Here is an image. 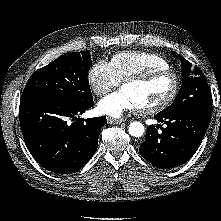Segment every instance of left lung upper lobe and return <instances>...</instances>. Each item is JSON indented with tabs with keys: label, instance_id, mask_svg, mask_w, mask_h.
Instances as JSON below:
<instances>
[{
	"label": "left lung upper lobe",
	"instance_id": "obj_1",
	"mask_svg": "<svg viewBox=\"0 0 221 221\" xmlns=\"http://www.w3.org/2000/svg\"><path fill=\"white\" fill-rule=\"evenodd\" d=\"M172 53L181 60L183 83L174 103L160 113H179L193 109L211 110L212 94L205 76L181 55Z\"/></svg>",
	"mask_w": 221,
	"mask_h": 221
}]
</instances>
